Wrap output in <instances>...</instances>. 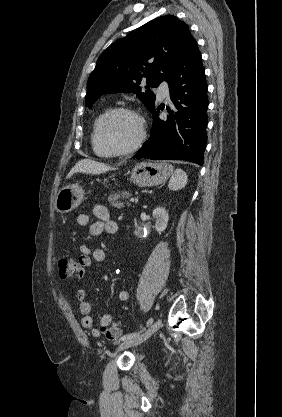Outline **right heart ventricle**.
Masks as SVG:
<instances>
[{
	"label": "right heart ventricle",
	"instance_id": "e07e8e85",
	"mask_svg": "<svg viewBox=\"0 0 282 417\" xmlns=\"http://www.w3.org/2000/svg\"><path fill=\"white\" fill-rule=\"evenodd\" d=\"M109 113V110H106L105 112H103L95 121L94 124V129H93V134H92V142H93V146L95 151L101 155V156H108L110 155V153H108L103 146L101 145V141H100V125L103 121V119L105 118V116Z\"/></svg>",
	"mask_w": 282,
	"mask_h": 417
}]
</instances>
